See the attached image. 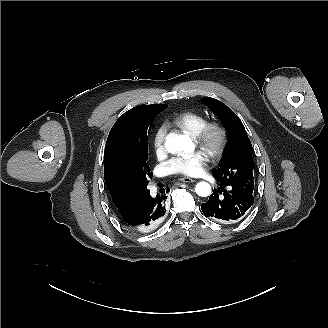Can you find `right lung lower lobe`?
<instances>
[{"label": "right lung lower lobe", "instance_id": "right-lung-lower-lobe-1", "mask_svg": "<svg viewBox=\"0 0 328 328\" xmlns=\"http://www.w3.org/2000/svg\"><path fill=\"white\" fill-rule=\"evenodd\" d=\"M166 198L164 195L152 197L149 193L145 197L135 218L131 220V223L123 221L124 225L140 232H148L155 228L166 212Z\"/></svg>", "mask_w": 328, "mask_h": 328}]
</instances>
